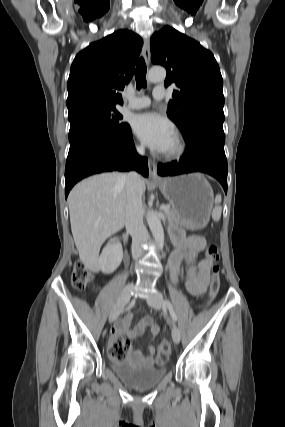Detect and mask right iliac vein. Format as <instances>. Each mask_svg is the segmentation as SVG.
Here are the masks:
<instances>
[{"mask_svg":"<svg viewBox=\"0 0 285 427\" xmlns=\"http://www.w3.org/2000/svg\"><path fill=\"white\" fill-rule=\"evenodd\" d=\"M133 289V284H128L121 292L118 301L116 302L115 306L113 307L110 316H109V322L112 323L115 321L118 316L123 311L126 304L129 302L131 298V292Z\"/></svg>","mask_w":285,"mask_h":427,"instance_id":"1","label":"right iliac vein"}]
</instances>
